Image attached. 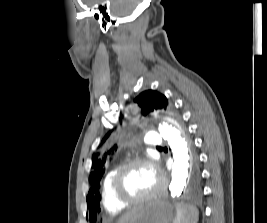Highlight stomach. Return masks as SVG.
<instances>
[{
	"instance_id": "0dacf381",
	"label": "stomach",
	"mask_w": 267,
	"mask_h": 223,
	"mask_svg": "<svg viewBox=\"0 0 267 223\" xmlns=\"http://www.w3.org/2000/svg\"><path fill=\"white\" fill-rule=\"evenodd\" d=\"M174 205L165 197L155 198L138 207L125 223H173Z\"/></svg>"
}]
</instances>
